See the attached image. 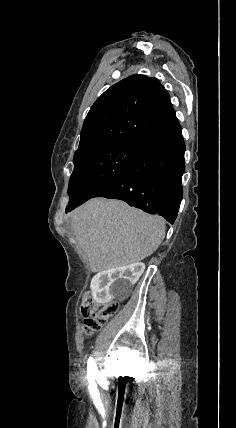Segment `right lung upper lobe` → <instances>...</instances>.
<instances>
[{
	"mask_svg": "<svg viewBox=\"0 0 236 428\" xmlns=\"http://www.w3.org/2000/svg\"><path fill=\"white\" fill-rule=\"evenodd\" d=\"M174 115L169 94L157 79L129 76L106 90L91 107L73 161L126 140H139Z\"/></svg>",
	"mask_w": 236,
	"mask_h": 428,
	"instance_id": "1",
	"label": "right lung upper lobe"
}]
</instances>
